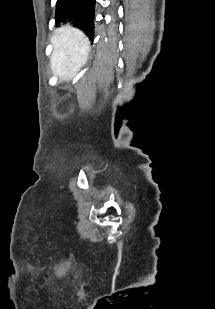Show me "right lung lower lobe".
<instances>
[{
	"instance_id": "98d812e1",
	"label": "right lung lower lobe",
	"mask_w": 215,
	"mask_h": 309,
	"mask_svg": "<svg viewBox=\"0 0 215 309\" xmlns=\"http://www.w3.org/2000/svg\"><path fill=\"white\" fill-rule=\"evenodd\" d=\"M96 0H57L56 23L81 28L93 40Z\"/></svg>"
}]
</instances>
